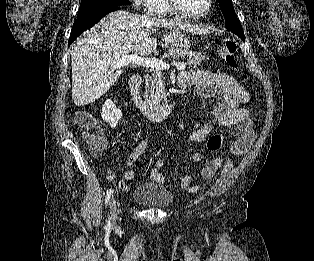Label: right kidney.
Returning a JSON list of instances; mask_svg holds the SVG:
<instances>
[{
    "label": "right kidney",
    "mask_w": 314,
    "mask_h": 261,
    "mask_svg": "<svg viewBox=\"0 0 314 261\" xmlns=\"http://www.w3.org/2000/svg\"><path fill=\"white\" fill-rule=\"evenodd\" d=\"M102 119L109 124L111 128L117 126L119 120L122 117V111L116 108L112 100L107 99L102 106L101 112Z\"/></svg>",
    "instance_id": "obj_1"
}]
</instances>
